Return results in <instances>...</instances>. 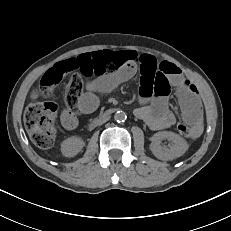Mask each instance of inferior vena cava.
Listing matches in <instances>:
<instances>
[{
  "label": "inferior vena cava",
  "instance_id": "obj_1",
  "mask_svg": "<svg viewBox=\"0 0 231 231\" xmlns=\"http://www.w3.org/2000/svg\"><path fill=\"white\" fill-rule=\"evenodd\" d=\"M109 119H110V118L107 116V117L103 118L101 121H102L103 123H105V122L108 121ZM102 122L99 124L101 127L104 125Z\"/></svg>",
  "mask_w": 231,
  "mask_h": 231
}]
</instances>
